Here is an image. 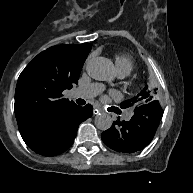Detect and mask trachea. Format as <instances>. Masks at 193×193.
Here are the masks:
<instances>
[{"label": "trachea", "instance_id": "1", "mask_svg": "<svg viewBox=\"0 0 193 193\" xmlns=\"http://www.w3.org/2000/svg\"><path fill=\"white\" fill-rule=\"evenodd\" d=\"M76 103H77L78 105H84L86 102H85V100H83V99H77V100H76Z\"/></svg>", "mask_w": 193, "mask_h": 193}]
</instances>
